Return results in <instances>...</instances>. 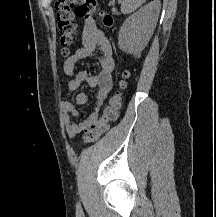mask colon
Here are the masks:
<instances>
[{
	"label": "colon",
	"instance_id": "obj_1",
	"mask_svg": "<svg viewBox=\"0 0 216 217\" xmlns=\"http://www.w3.org/2000/svg\"><path fill=\"white\" fill-rule=\"evenodd\" d=\"M55 9L61 53L67 56L76 41V18H88L93 15L96 12V0H57ZM98 16L104 26L113 25L114 21L110 14L100 12ZM127 77L128 73H125L119 84L120 89L125 88ZM120 105L121 93L118 91L110 98L101 117L86 131L83 137L84 143H93L106 133L109 124L117 118Z\"/></svg>",
	"mask_w": 216,
	"mask_h": 217
}]
</instances>
